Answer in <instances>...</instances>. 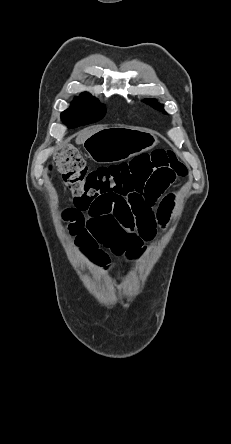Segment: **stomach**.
Here are the masks:
<instances>
[{
  "mask_svg": "<svg viewBox=\"0 0 231 444\" xmlns=\"http://www.w3.org/2000/svg\"><path fill=\"white\" fill-rule=\"evenodd\" d=\"M157 143L156 135L148 129L119 126L102 129L87 138L83 144L93 161L114 163L150 150Z\"/></svg>",
  "mask_w": 231,
  "mask_h": 444,
  "instance_id": "0dacf381",
  "label": "stomach"
}]
</instances>
